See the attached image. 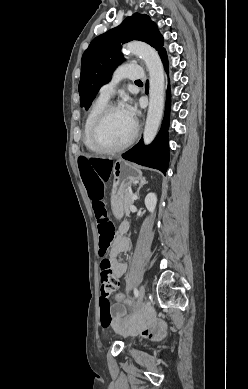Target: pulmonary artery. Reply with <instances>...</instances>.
I'll return each mask as SVG.
<instances>
[{
    "label": "pulmonary artery",
    "instance_id": "pulmonary-artery-1",
    "mask_svg": "<svg viewBox=\"0 0 248 389\" xmlns=\"http://www.w3.org/2000/svg\"><path fill=\"white\" fill-rule=\"evenodd\" d=\"M142 77L141 67L132 63L119 66L113 74L110 82L100 88V97L109 100L116 89L117 84L123 79L139 80Z\"/></svg>",
    "mask_w": 248,
    "mask_h": 389
}]
</instances>
